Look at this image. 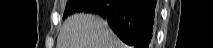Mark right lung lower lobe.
I'll return each instance as SVG.
<instances>
[{
	"instance_id": "98d812e1",
	"label": "right lung lower lobe",
	"mask_w": 213,
	"mask_h": 48,
	"mask_svg": "<svg viewBox=\"0 0 213 48\" xmlns=\"http://www.w3.org/2000/svg\"><path fill=\"white\" fill-rule=\"evenodd\" d=\"M82 12L101 16L129 46L149 47L156 0H89Z\"/></svg>"
}]
</instances>
